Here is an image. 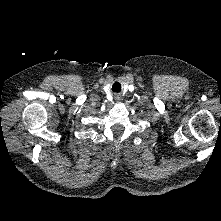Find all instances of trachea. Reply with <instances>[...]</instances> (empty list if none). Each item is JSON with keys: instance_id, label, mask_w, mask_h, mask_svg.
<instances>
[{"instance_id": "obj_1", "label": "trachea", "mask_w": 221, "mask_h": 221, "mask_svg": "<svg viewBox=\"0 0 221 221\" xmlns=\"http://www.w3.org/2000/svg\"><path fill=\"white\" fill-rule=\"evenodd\" d=\"M111 89H112L113 92H120V91H121V85H120V83L115 82V83L113 84V86H112Z\"/></svg>"}]
</instances>
